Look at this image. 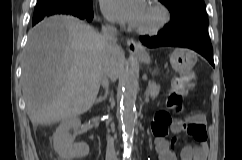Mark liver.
<instances>
[{
  "instance_id": "liver-1",
  "label": "liver",
  "mask_w": 242,
  "mask_h": 160,
  "mask_svg": "<svg viewBox=\"0 0 242 160\" xmlns=\"http://www.w3.org/2000/svg\"><path fill=\"white\" fill-rule=\"evenodd\" d=\"M107 58L102 35L75 17L53 16L31 29L21 80L32 124L50 125L87 112L96 100ZM123 70L122 51L116 80Z\"/></svg>"
}]
</instances>
